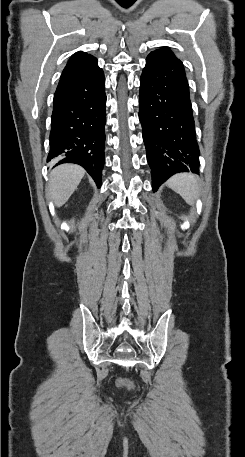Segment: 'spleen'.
Listing matches in <instances>:
<instances>
[{
	"label": "spleen",
	"instance_id": "1",
	"mask_svg": "<svg viewBox=\"0 0 245 457\" xmlns=\"http://www.w3.org/2000/svg\"><path fill=\"white\" fill-rule=\"evenodd\" d=\"M170 188H173L175 192L181 194L182 198L188 202V204H195L196 198L200 194V186L198 180L191 172H179L171 176L167 182Z\"/></svg>",
	"mask_w": 245,
	"mask_h": 457
}]
</instances>
